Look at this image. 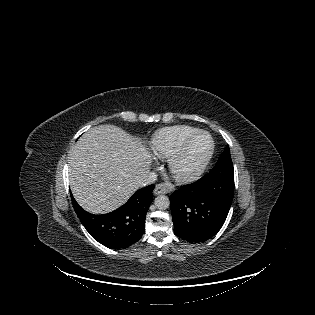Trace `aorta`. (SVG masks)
<instances>
[{"label": "aorta", "mask_w": 315, "mask_h": 315, "mask_svg": "<svg viewBox=\"0 0 315 315\" xmlns=\"http://www.w3.org/2000/svg\"><path fill=\"white\" fill-rule=\"evenodd\" d=\"M155 206L159 210H165L170 206V200L165 195H159L155 198Z\"/></svg>", "instance_id": "aorta-1"}]
</instances>
